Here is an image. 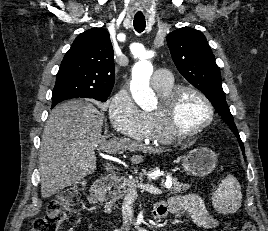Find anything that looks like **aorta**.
<instances>
[{
	"label": "aorta",
	"mask_w": 268,
	"mask_h": 231,
	"mask_svg": "<svg viewBox=\"0 0 268 231\" xmlns=\"http://www.w3.org/2000/svg\"><path fill=\"white\" fill-rule=\"evenodd\" d=\"M152 51L144 52L140 61L135 64L132 70L130 90L135 102L143 109L154 106L155 93L150 88V78L153 66L149 58L153 56Z\"/></svg>",
	"instance_id": "aorta-1"
}]
</instances>
